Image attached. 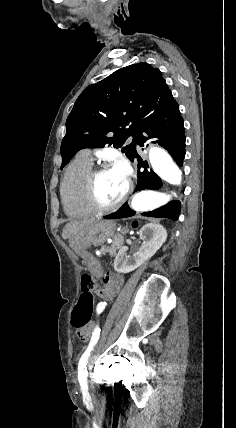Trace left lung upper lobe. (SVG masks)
Returning a JSON list of instances; mask_svg holds the SVG:
<instances>
[{
    "label": "left lung upper lobe",
    "instance_id": "5c2ea615",
    "mask_svg": "<svg viewBox=\"0 0 236 428\" xmlns=\"http://www.w3.org/2000/svg\"><path fill=\"white\" fill-rule=\"evenodd\" d=\"M174 100L162 74L146 62L121 68L87 87L66 121L61 169L83 148L111 145L134 161L142 128ZM122 128H119V127ZM127 127V128H126ZM132 134L133 141L124 145Z\"/></svg>",
    "mask_w": 236,
    "mask_h": 428
}]
</instances>
